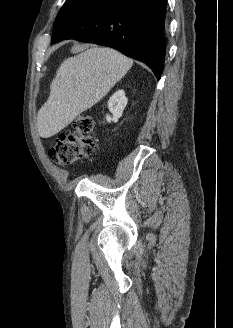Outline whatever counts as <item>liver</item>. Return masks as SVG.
<instances>
[{"instance_id":"6515ba94","label":"liver","mask_w":233,"mask_h":328,"mask_svg":"<svg viewBox=\"0 0 233 328\" xmlns=\"http://www.w3.org/2000/svg\"><path fill=\"white\" fill-rule=\"evenodd\" d=\"M133 64L120 52L91 47L65 59L50 85L47 102L37 114L40 137L50 138L79 114L98 103Z\"/></svg>"}]
</instances>
